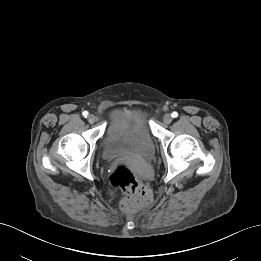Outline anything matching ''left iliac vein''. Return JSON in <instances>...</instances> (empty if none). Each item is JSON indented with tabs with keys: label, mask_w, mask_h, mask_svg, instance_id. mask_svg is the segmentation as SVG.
I'll use <instances>...</instances> for the list:
<instances>
[{
	"label": "left iliac vein",
	"mask_w": 261,
	"mask_h": 261,
	"mask_svg": "<svg viewBox=\"0 0 261 261\" xmlns=\"http://www.w3.org/2000/svg\"><path fill=\"white\" fill-rule=\"evenodd\" d=\"M163 121L165 124H170L172 122V117L170 114H165L163 117Z\"/></svg>",
	"instance_id": "left-iliac-vein-1"
}]
</instances>
